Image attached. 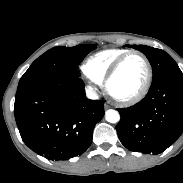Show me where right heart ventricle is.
I'll list each match as a JSON object with an SVG mask.
<instances>
[{
    "instance_id": "obj_1",
    "label": "right heart ventricle",
    "mask_w": 183,
    "mask_h": 183,
    "mask_svg": "<svg viewBox=\"0 0 183 183\" xmlns=\"http://www.w3.org/2000/svg\"><path fill=\"white\" fill-rule=\"evenodd\" d=\"M128 49H105L101 50L87 60L93 72H95L102 79L105 77L110 66Z\"/></svg>"
}]
</instances>
